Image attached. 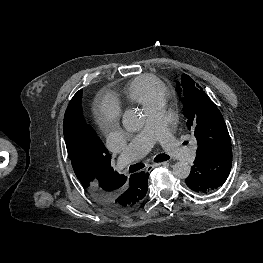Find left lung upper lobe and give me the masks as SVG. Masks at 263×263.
Here are the masks:
<instances>
[{
	"label": "left lung upper lobe",
	"mask_w": 263,
	"mask_h": 263,
	"mask_svg": "<svg viewBox=\"0 0 263 263\" xmlns=\"http://www.w3.org/2000/svg\"><path fill=\"white\" fill-rule=\"evenodd\" d=\"M187 127L197 139V155L209 154L221 148H231V139L224 118L217 106L191 77L183 74L176 83Z\"/></svg>",
	"instance_id": "1"
}]
</instances>
